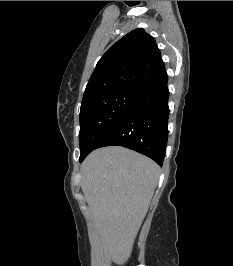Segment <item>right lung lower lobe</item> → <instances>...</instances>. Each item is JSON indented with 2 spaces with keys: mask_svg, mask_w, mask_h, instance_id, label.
I'll use <instances>...</instances> for the list:
<instances>
[{
  "mask_svg": "<svg viewBox=\"0 0 233 266\" xmlns=\"http://www.w3.org/2000/svg\"><path fill=\"white\" fill-rule=\"evenodd\" d=\"M168 77L145 91L142 98L98 143L123 146L142 153L162 165L168 138ZM95 148V149H96ZM87 155L80 157L82 162Z\"/></svg>",
  "mask_w": 233,
  "mask_h": 266,
  "instance_id": "right-lung-lower-lobe-1",
  "label": "right lung lower lobe"
}]
</instances>
